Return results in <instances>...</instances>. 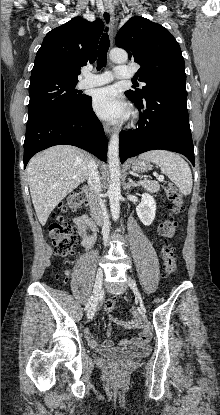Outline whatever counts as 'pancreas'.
<instances>
[{
	"instance_id": "cf45deb5",
	"label": "pancreas",
	"mask_w": 220,
	"mask_h": 415,
	"mask_svg": "<svg viewBox=\"0 0 220 415\" xmlns=\"http://www.w3.org/2000/svg\"><path fill=\"white\" fill-rule=\"evenodd\" d=\"M139 185L151 193H157L160 190V185L157 181L143 180L139 182Z\"/></svg>"
}]
</instances>
